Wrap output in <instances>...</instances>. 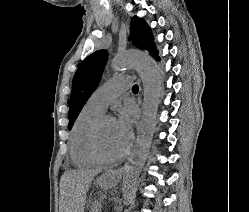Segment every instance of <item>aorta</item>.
Segmentation results:
<instances>
[{"label":"aorta","mask_w":249,"mask_h":212,"mask_svg":"<svg viewBox=\"0 0 249 212\" xmlns=\"http://www.w3.org/2000/svg\"><path fill=\"white\" fill-rule=\"evenodd\" d=\"M112 67L115 70L135 68L142 80L144 90L143 114L136 146L123 172L122 192L124 203H126L133 195L136 180L149 154L160 102L161 74L154 59L140 51L118 54L112 61Z\"/></svg>","instance_id":"aorta-1"}]
</instances>
